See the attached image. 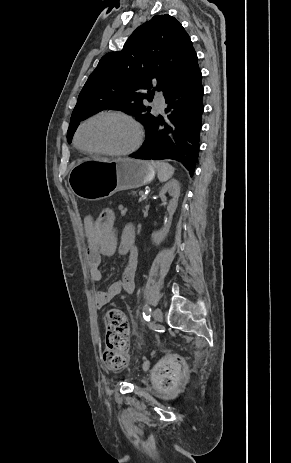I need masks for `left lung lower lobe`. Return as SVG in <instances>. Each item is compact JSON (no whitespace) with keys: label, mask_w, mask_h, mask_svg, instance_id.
<instances>
[{"label":"left lung lower lobe","mask_w":291,"mask_h":463,"mask_svg":"<svg viewBox=\"0 0 291 463\" xmlns=\"http://www.w3.org/2000/svg\"><path fill=\"white\" fill-rule=\"evenodd\" d=\"M203 95L202 74L198 67L164 95L167 117H154L146 129L143 146L130 157L176 160L192 176L200 147Z\"/></svg>","instance_id":"left-lung-lower-lobe-1"}]
</instances>
